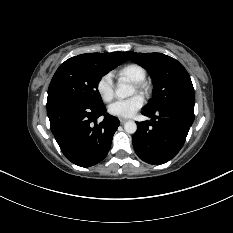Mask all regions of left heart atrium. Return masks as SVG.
I'll list each match as a JSON object with an SVG mask.
<instances>
[{"mask_svg": "<svg viewBox=\"0 0 233 233\" xmlns=\"http://www.w3.org/2000/svg\"><path fill=\"white\" fill-rule=\"evenodd\" d=\"M144 100L135 95L126 100H118L108 107V113L119 118H130L134 116L143 106Z\"/></svg>", "mask_w": 233, "mask_h": 233, "instance_id": "obj_1", "label": "left heart atrium"}]
</instances>
